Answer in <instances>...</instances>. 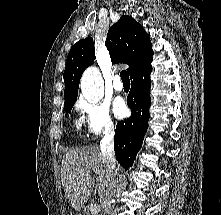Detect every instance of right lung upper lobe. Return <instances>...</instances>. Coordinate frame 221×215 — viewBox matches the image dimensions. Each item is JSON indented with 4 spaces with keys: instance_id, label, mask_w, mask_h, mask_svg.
Segmentation results:
<instances>
[{
    "instance_id": "1",
    "label": "right lung upper lobe",
    "mask_w": 221,
    "mask_h": 215,
    "mask_svg": "<svg viewBox=\"0 0 221 215\" xmlns=\"http://www.w3.org/2000/svg\"><path fill=\"white\" fill-rule=\"evenodd\" d=\"M105 45L113 63H126L132 76L152 61L150 36L132 17L123 15L108 30ZM95 59L93 39L78 41L71 48L63 74L65 102L77 99L80 78Z\"/></svg>"
}]
</instances>
